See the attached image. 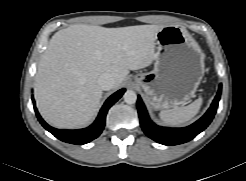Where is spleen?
<instances>
[{
    "mask_svg": "<svg viewBox=\"0 0 246 181\" xmlns=\"http://www.w3.org/2000/svg\"><path fill=\"white\" fill-rule=\"evenodd\" d=\"M202 103V98H198L187 106L162 110L159 116L168 125H182L191 120L199 112Z\"/></svg>",
    "mask_w": 246,
    "mask_h": 181,
    "instance_id": "obj_1",
    "label": "spleen"
}]
</instances>
